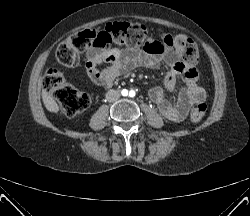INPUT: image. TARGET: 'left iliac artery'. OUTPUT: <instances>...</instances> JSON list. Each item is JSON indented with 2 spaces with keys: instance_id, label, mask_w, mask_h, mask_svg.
I'll list each match as a JSON object with an SVG mask.
<instances>
[{
  "instance_id": "obj_1",
  "label": "left iliac artery",
  "mask_w": 250,
  "mask_h": 216,
  "mask_svg": "<svg viewBox=\"0 0 250 216\" xmlns=\"http://www.w3.org/2000/svg\"><path fill=\"white\" fill-rule=\"evenodd\" d=\"M129 96L130 97H134L135 96V92L133 90H131L130 93H129Z\"/></svg>"
}]
</instances>
